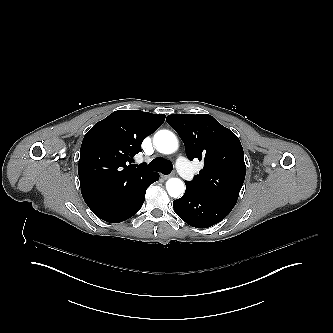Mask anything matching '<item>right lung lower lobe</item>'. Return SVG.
<instances>
[{
  "label": "right lung lower lobe",
  "instance_id": "obj_1",
  "mask_svg": "<svg viewBox=\"0 0 333 333\" xmlns=\"http://www.w3.org/2000/svg\"><path fill=\"white\" fill-rule=\"evenodd\" d=\"M158 179V173L146 170L125 182L96 185L81 189V192L85 203L97 217L119 223L139 211L147 188Z\"/></svg>",
  "mask_w": 333,
  "mask_h": 333
}]
</instances>
